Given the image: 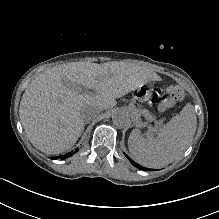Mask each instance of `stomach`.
<instances>
[{"label":"stomach","instance_id":"obj_1","mask_svg":"<svg viewBox=\"0 0 219 219\" xmlns=\"http://www.w3.org/2000/svg\"><path fill=\"white\" fill-rule=\"evenodd\" d=\"M154 90V87L152 84H143L137 88H135L134 91V98L143 102L150 98ZM142 114L145 116V118L149 121L154 120V116L147 110L143 109Z\"/></svg>","mask_w":219,"mask_h":219}]
</instances>
